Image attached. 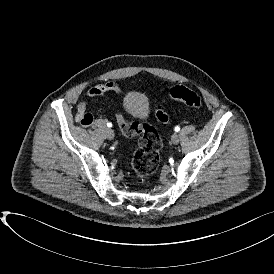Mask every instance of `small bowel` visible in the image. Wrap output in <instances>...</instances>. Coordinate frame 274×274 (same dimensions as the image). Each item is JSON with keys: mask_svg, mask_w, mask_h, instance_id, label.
<instances>
[{"mask_svg": "<svg viewBox=\"0 0 274 274\" xmlns=\"http://www.w3.org/2000/svg\"><path fill=\"white\" fill-rule=\"evenodd\" d=\"M124 89L116 82L108 81L103 83H98L91 87L87 92L86 96L93 100H106V95L108 93H123ZM75 120L77 123L84 127H88L93 123L94 117L91 113L87 111V102L81 101L77 105V112L75 115Z\"/></svg>", "mask_w": 274, "mask_h": 274, "instance_id": "small-bowel-1", "label": "small bowel"}]
</instances>
